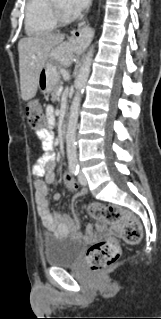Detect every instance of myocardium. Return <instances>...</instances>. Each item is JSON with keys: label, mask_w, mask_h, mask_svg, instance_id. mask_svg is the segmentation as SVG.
<instances>
[{"label": "myocardium", "mask_w": 161, "mask_h": 319, "mask_svg": "<svg viewBox=\"0 0 161 319\" xmlns=\"http://www.w3.org/2000/svg\"><path fill=\"white\" fill-rule=\"evenodd\" d=\"M51 4V10L53 13V16L57 23L60 25H68L74 22V18L70 15L65 14L54 2L55 0H50Z\"/></svg>", "instance_id": "obj_1"}]
</instances>
